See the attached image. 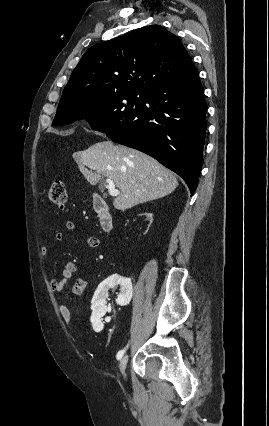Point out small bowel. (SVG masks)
Wrapping results in <instances>:
<instances>
[{
	"instance_id": "1",
	"label": "small bowel",
	"mask_w": 269,
	"mask_h": 426,
	"mask_svg": "<svg viewBox=\"0 0 269 426\" xmlns=\"http://www.w3.org/2000/svg\"><path fill=\"white\" fill-rule=\"evenodd\" d=\"M65 228L68 231H73L75 229V224L72 221H67L65 223ZM64 239V234L62 232H58L54 236V240L56 242H61ZM85 243L90 248H97L100 246V240L95 236H88L85 238ZM49 247H42L41 251L43 255H47L49 253ZM76 271L75 263L68 261L65 263L63 269L61 270L59 277H53L49 280L50 288L55 295V297L60 298L63 292V289L66 283L71 278L72 274ZM88 285V281L84 278H78L73 287L72 293L74 295H81ZM59 311L62 319L66 323H71L73 321L72 314L70 312L69 307L66 304H61L59 306Z\"/></svg>"
}]
</instances>
